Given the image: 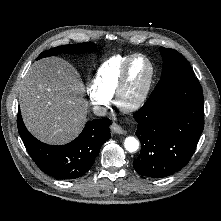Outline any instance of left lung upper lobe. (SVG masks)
I'll list each match as a JSON object with an SVG mask.
<instances>
[{"instance_id":"1","label":"left lung upper lobe","mask_w":221,"mask_h":221,"mask_svg":"<svg viewBox=\"0 0 221 221\" xmlns=\"http://www.w3.org/2000/svg\"><path fill=\"white\" fill-rule=\"evenodd\" d=\"M159 50L163 57V68L161 79L154 91L163 90L178 80L195 77L189 62L178 51L164 47Z\"/></svg>"}]
</instances>
